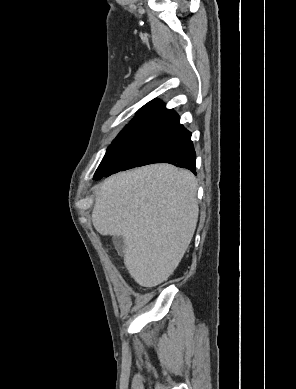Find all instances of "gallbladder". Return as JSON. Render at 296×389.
Instances as JSON below:
<instances>
[{
	"instance_id": "obj_1",
	"label": "gallbladder",
	"mask_w": 296,
	"mask_h": 389,
	"mask_svg": "<svg viewBox=\"0 0 296 389\" xmlns=\"http://www.w3.org/2000/svg\"><path fill=\"white\" fill-rule=\"evenodd\" d=\"M112 242H113V245H114L117 253L120 256H123L124 252H125V248H126L124 238L122 236H113Z\"/></svg>"
}]
</instances>
